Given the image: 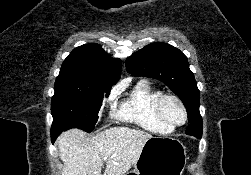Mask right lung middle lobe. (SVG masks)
<instances>
[{
  "label": "right lung middle lobe",
  "instance_id": "dd1d6c3e",
  "mask_svg": "<svg viewBox=\"0 0 251 175\" xmlns=\"http://www.w3.org/2000/svg\"><path fill=\"white\" fill-rule=\"evenodd\" d=\"M111 87H95L68 82H55L51 112L52 132L58 135L70 128L91 132L98 120L102 100L108 97Z\"/></svg>",
  "mask_w": 251,
  "mask_h": 175
}]
</instances>
